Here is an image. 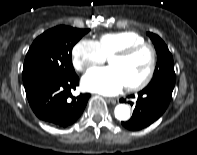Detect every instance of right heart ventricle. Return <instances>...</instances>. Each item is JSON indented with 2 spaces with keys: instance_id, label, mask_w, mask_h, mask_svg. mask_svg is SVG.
Returning a JSON list of instances; mask_svg holds the SVG:
<instances>
[{
  "instance_id": "1",
  "label": "right heart ventricle",
  "mask_w": 197,
  "mask_h": 155,
  "mask_svg": "<svg viewBox=\"0 0 197 155\" xmlns=\"http://www.w3.org/2000/svg\"><path fill=\"white\" fill-rule=\"evenodd\" d=\"M97 42L107 57L122 48L145 43V39L135 31L125 30L105 33L100 36Z\"/></svg>"
}]
</instances>
